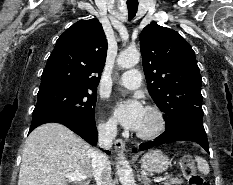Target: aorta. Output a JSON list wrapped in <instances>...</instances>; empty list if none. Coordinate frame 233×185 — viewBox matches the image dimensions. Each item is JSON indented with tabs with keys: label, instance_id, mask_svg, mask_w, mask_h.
Returning a JSON list of instances; mask_svg holds the SVG:
<instances>
[{
	"label": "aorta",
	"instance_id": "762f6f07",
	"mask_svg": "<svg viewBox=\"0 0 233 185\" xmlns=\"http://www.w3.org/2000/svg\"><path fill=\"white\" fill-rule=\"evenodd\" d=\"M140 59V53L137 50H125L117 58V65L123 69L134 67ZM117 174L122 185H136L132 168L126 158L119 154L117 158Z\"/></svg>",
	"mask_w": 233,
	"mask_h": 185
}]
</instances>
